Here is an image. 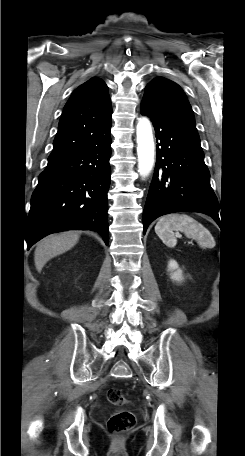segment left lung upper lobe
<instances>
[{
  "mask_svg": "<svg viewBox=\"0 0 245 456\" xmlns=\"http://www.w3.org/2000/svg\"><path fill=\"white\" fill-rule=\"evenodd\" d=\"M141 104L196 129L193 111L185 93L171 80L163 77L153 79L145 88Z\"/></svg>",
  "mask_w": 245,
  "mask_h": 456,
  "instance_id": "obj_1",
  "label": "left lung upper lobe"
}]
</instances>
